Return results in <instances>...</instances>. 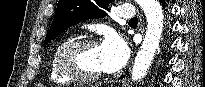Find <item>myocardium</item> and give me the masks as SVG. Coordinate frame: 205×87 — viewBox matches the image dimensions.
I'll return each mask as SVG.
<instances>
[{
    "label": "myocardium",
    "instance_id": "1",
    "mask_svg": "<svg viewBox=\"0 0 205 87\" xmlns=\"http://www.w3.org/2000/svg\"><path fill=\"white\" fill-rule=\"evenodd\" d=\"M83 46H97L98 43L88 37L74 38L66 42L58 51L56 56V64L61 74L70 80L82 83H92L99 80L103 72L100 71L94 75H84L70 63V55L77 49Z\"/></svg>",
    "mask_w": 205,
    "mask_h": 87
}]
</instances>
